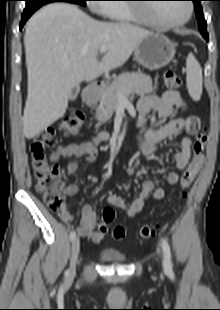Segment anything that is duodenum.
<instances>
[{
  "label": "duodenum",
  "mask_w": 220,
  "mask_h": 310,
  "mask_svg": "<svg viewBox=\"0 0 220 310\" xmlns=\"http://www.w3.org/2000/svg\"><path fill=\"white\" fill-rule=\"evenodd\" d=\"M104 83L102 81H94L90 87V90L85 95V101L89 104H93L97 100L98 94L103 90ZM102 138L105 139L106 136L103 134Z\"/></svg>",
  "instance_id": "duodenum-1"
}]
</instances>
